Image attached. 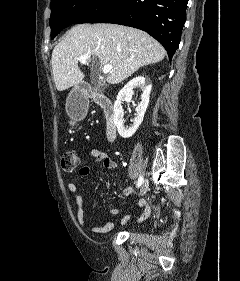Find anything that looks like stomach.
<instances>
[{"label": "stomach", "mask_w": 240, "mask_h": 281, "mask_svg": "<svg viewBox=\"0 0 240 281\" xmlns=\"http://www.w3.org/2000/svg\"><path fill=\"white\" fill-rule=\"evenodd\" d=\"M76 90L77 88L73 89L70 92L66 103V112L70 118L71 124H74L75 122L80 120L85 114L84 109L81 107L80 103L74 99Z\"/></svg>", "instance_id": "obj_1"}]
</instances>
